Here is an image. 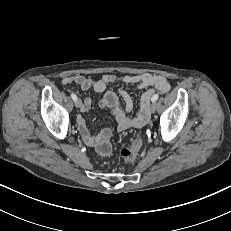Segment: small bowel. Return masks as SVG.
Listing matches in <instances>:
<instances>
[{
    "mask_svg": "<svg viewBox=\"0 0 231 231\" xmlns=\"http://www.w3.org/2000/svg\"><path fill=\"white\" fill-rule=\"evenodd\" d=\"M76 84L81 90L93 89L97 93H102L100 107L111 111L117 122V130L122 131L129 127H141L148 120V105L155 90L166 93L170 90V83L165 76L151 73L138 75L117 76L114 74H104L97 79H90L82 75H70L62 79V84ZM112 83H124L134 85L138 89H145L140 100V112L136 117L128 116L133 109V100L128 92L119 89L115 92L108 88ZM119 97L123 100L121 104ZM92 101L86 98L83 101L82 111H88L91 108ZM77 124L84 143L91 147H96L101 139V135L91 134L83 116L77 117Z\"/></svg>",
    "mask_w": 231,
    "mask_h": 231,
    "instance_id": "obj_1",
    "label": "small bowel"
}]
</instances>
